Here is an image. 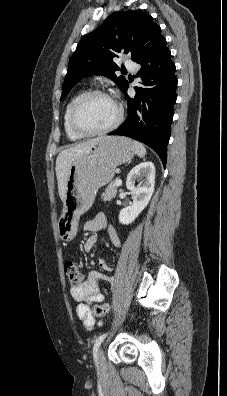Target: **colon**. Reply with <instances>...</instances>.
<instances>
[{
	"mask_svg": "<svg viewBox=\"0 0 227 396\" xmlns=\"http://www.w3.org/2000/svg\"><path fill=\"white\" fill-rule=\"evenodd\" d=\"M64 271L72 285H78L82 282V274L74 262L66 261L64 264ZM92 310L95 316H102L110 311V305L107 303L94 305Z\"/></svg>",
	"mask_w": 227,
	"mask_h": 396,
	"instance_id": "5ec220e1",
	"label": "colon"
}]
</instances>
